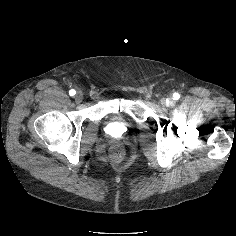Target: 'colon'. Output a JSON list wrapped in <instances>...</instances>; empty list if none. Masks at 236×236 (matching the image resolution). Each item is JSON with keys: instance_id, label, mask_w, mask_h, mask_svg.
I'll use <instances>...</instances> for the list:
<instances>
[{"instance_id": "1", "label": "colon", "mask_w": 236, "mask_h": 236, "mask_svg": "<svg viewBox=\"0 0 236 236\" xmlns=\"http://www.w3.org/2000/svg\"><path fill=\"white\" fill-rule=\"evenodd\" d=\"M124 155L123 148L119 145L112 147L111 157L115 161H121Z\"/></svg>"}]
</instances>
